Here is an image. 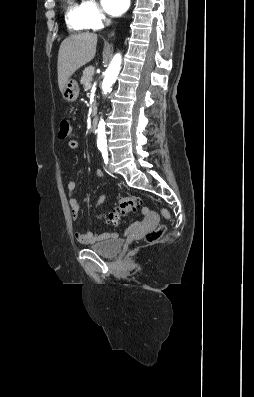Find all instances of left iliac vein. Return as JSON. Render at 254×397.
<instances>
[{
	"mask_svg": "<svg viewBox=\"0 0 254 397\" xmlns=\"http://www.w3.org/2000/svg\"><path fill=\"white\" fill-rule=\"evenodd\" d=\"M107 167H108V171H109L110 174L114 173L113 167H112L110 162L108 163Z\"/></svg>",
	"mask_w": 254,
	"mask_h": 397,
	"instance_id": "1",
	"label": "left iliac vein"
}]
</instances>
